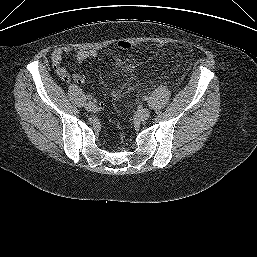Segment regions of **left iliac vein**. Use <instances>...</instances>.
I'll return each instance as SVG.
<instances>
[{
  "label": "left iliac vein",
  "mask_w": 257,
  "mask_h": 257,
  "mask_svg": "<svg viewBox=\"0 0 257 257\" xmlns=\"http://www.w3.org/2000/svg\"><path fill=\"white\" fill-rule=\"evenodd\" d=\"M149 116H150V111H149L148 109H146V108L141 109V110H139V111L137 112V118H138V120H140V121H145V120H147V119L149 118Z\"/></svg>",
  "instance_id": "left-iliac-vein-1"
}]
</instances>
